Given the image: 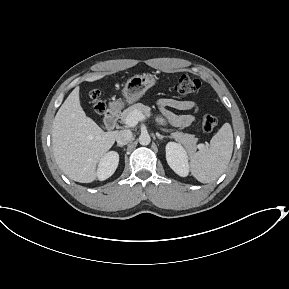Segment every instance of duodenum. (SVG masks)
<instances>
[{
  "instance_id": "1",
  "label": "duodenum",
  "mask_w": 289,
  "mask_h": 289,
  "mask_svg": "<svg viewBox=\"0 0 289 289\" xmlns=\"http://www.w3.org/2000/svg\"><path fill=\"white\" fill-rule=\"evenodd\" d=\"M119 109L115 106H110L105 114L104 124L107 129H113L119 118Z\"/></svg>"
}]
</instances>
